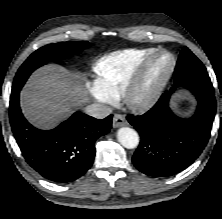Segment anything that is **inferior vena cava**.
<instances>
[{
	"label": "inferior vena cava",
	"instance_id": "1",
	"mask_svg": "<svg viewBox=\"0 0 222 219\" xmlns=\"http://www.w3.org/2000/svg\"><path fill=\"white\" fill-rule=\"evenodd\" d=\"M85 112L97 119H103L112 113V108L103 104H91L86 107Z\"/></svg>",
	"mask_w": 222,
	"mask_h": 219
}]
</instances>
